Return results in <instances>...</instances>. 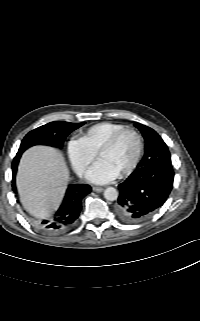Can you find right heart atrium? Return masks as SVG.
Listing matches in <instances>:
<instances>
[{
  "mask_svg": "<svg viewBox=\"0 0 200 321\" xmlns=\"http://www.w3.org/2000/svg\"><path fill=\"white\" fill-rule=\"evenodd\" d=\"M67 154L74 170L80 176L84 175L87 167L96 157V153L81 138H72L68 141Z\"/></svg>",
  "mask_w": 200,
  "mask_h": 321,
  "instance_id": "1",
  "label": "right heart atrium"
}]
</instances>
